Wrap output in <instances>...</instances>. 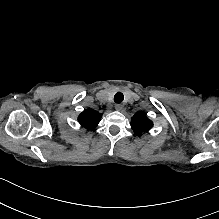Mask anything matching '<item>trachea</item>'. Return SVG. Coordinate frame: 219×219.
<instances>
[{
	"label": "trachea",
	"instance_id": "obj_1",
	"mask_svg": "<svg viewBox=\"0 0 219 219\" xmlns=\"http://www.w3.org/2000/svg\"><path fill=\"white\" fill-rule=\"evenodd\" d=\"M124 99V95L121 92H117L114 96L115 103H121Z\"/></svg>",
	"mask_w": 219,
	"mask_h": 219
}]
</instances>
